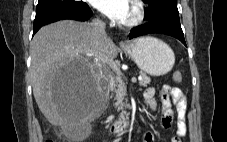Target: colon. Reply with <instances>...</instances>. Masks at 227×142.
Masks as SVG:
<instances>
[{
	"mask_svg": "<svg viewBox=\"0 0 227 142\" xmlns=\"http://www.w3.org/2000/svg\"><path fill=\"white\" fill-rule=\"evenodd\" d=\"M173 78L176 82H179L182 77H181V74L177 72L174 74ZM45 142H54V141L49 139V140H46Z\"/></svg>",
	"mask_w": 227,
	"mask_h": 142,
	"instance_id": "1",
	"label": "colon"
}]
</instances>
